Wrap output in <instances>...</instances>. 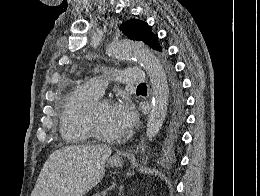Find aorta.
Returning <instances> with one entry per match:
<instances>
[{"label": "aorta", "mask_w": 260, "mask_h": 196, "mask_svg": "<svg viewBox=\"0 0 260 196\" xmlns=\"http://www.w3.org/2000/svg\"><path fill=\"white\" fill-rule=\"evenodd\" d=\"M108 53L120 59L135 58L150 78L153 99L146 129L150 141L157 135L167 112L168 85L164 68L156 55L140 43L128 40L112 43Z\"/></svg>", "instance_id": "1"}]
</instances>
